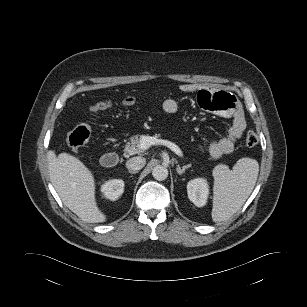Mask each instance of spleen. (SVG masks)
<instances>
[{
    "label": "spleen",
    "instance_id": "1",
    "mask_svg": "<svg viewBox=\"0 0 307 307\" xmlns=\"http://www.w3.org/2000/svg\"><path fill=\"white\" fill-rule=\"evenodd\" d=\"M259 173V164L252 158H241L230 170L217 165L213 170L212 220L221 222L232 217L250 196Z\"/></svg>",
    "mask_w": 307,
    "mask_h": 307
}]
</instances>
